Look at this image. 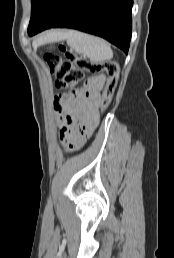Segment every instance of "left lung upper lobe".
Listing matches in <instances>:
<instances>
[{"label": "left lung upper lobe", "mask_w": 174, "mask_h": 258, "mask_svg": "<svg viewBox=\"0 0 174 258\" xmlns=\"http://www.w3.org/2000/svg\"><path fill=\"white\" fill-rule=\"evenodd\" d=\"M57 1L58 0H31L32 10L28 34L37 29Z\"/></svg>", "instance_id": "5c2ea615"}]
</instances>
